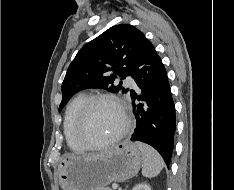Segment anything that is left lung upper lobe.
<instances>
[{"label":"left lung upper lobe","instance_id":"obj_1","mask_svg":"<svg viewBox=\"0 0 234 190\" xmlns=\"http://www.w3.org/2000/svg\"><path fill=\"white\" fill-rule=\"evenodd\" d=\"M144 38V34L134 26L119 24L87 43L67 70L59 111L82 89L104 88L111 92L121 90L127 93L128 90L121 86L122 82L118 86L113 83L117 78H133L140 43Z\"/></svg>","mask_w":234,"mask_h":190}]
</instances>
